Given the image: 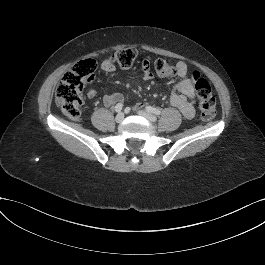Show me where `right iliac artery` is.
Segmentation results:
<instances>
[{
    "label": "right iliac artery",
    "instance_id": "1",
    "mask_svg": "<svg viewBox=\"0 0 265 265\" xmlns=\"http://www.w3.org/2000/svg\"><path fill=\"white\" fill-rule=\"evenodd\" d=\"M122 108H123V104L122 103H118V104H116L114 110H115V112L118 113V112H120L122 110Z\"/></svg>",
    "mask_w": 265,
    "mask_h": 265
}]
</instances>
